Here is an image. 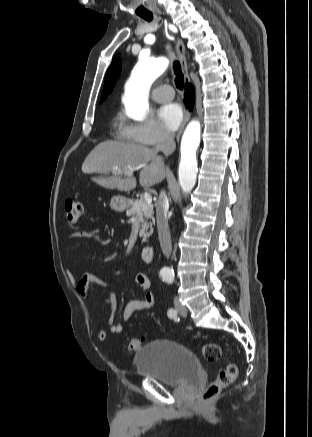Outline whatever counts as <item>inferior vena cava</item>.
I'll return each instance as SVG.
<instances>
[{
  "label": "inferior vena cava",
  "mask_w": 312,
  "mask_h": 437,
  "mask_svg": "<svg viewBox=\"0 0 312 437\" xmlns=\"http://www.w3.org/2000/svg\"><path fill=\"white\" fill-rule=\"evenodd\" d=\"M175 147L174 134L169 131H162L160 141L155 147V151H161L164 154L169 155L175 150ZM168 208V198L165 191L162 190L156 205V221L160 246L163 254L167 258L170 256L172 251L171 234L167 218Z\"/></svg>",
  "instance_id": "obj_1"
}]
</instances>
